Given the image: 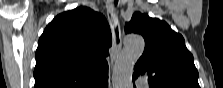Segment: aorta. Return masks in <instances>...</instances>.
Masks as SVG:
<instances>
[{
    "label": "aorta",
    "mask_w": 223,
    "mask_h": 88,
    "mask_svg": "<svg viewBox=\"0 0 223 88\" xmlns=\"http://www.w3.org/2000/svg\"><path fill=\"white\" fill-rule=\"evenodd\" d=\"M144 39L139 35H129L124 41V49L115 62L112 73L113 88H132L134 65L144 51Z\"/></svg>",
    "instance_id": "aorta-1"
}]
</instances>
